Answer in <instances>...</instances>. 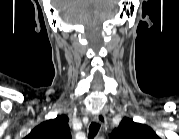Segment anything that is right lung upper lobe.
<instances>
[{
  "instance_id": "1",
  "label": "right lung upper lobe",
  "mask_w": 179,
  "mask_h": 139,
  "mask_svg": "<svg viewBox=\"0 0 179 139\" xmlns=\"http://www.w3.org/2000/svg\"><path fill=\"white\" fill-rule=\"evenodd\" d=\"M68 120L66 115H61L45 121L35 127L26 139H70Z\"/></svg>"
}]
</instances>
